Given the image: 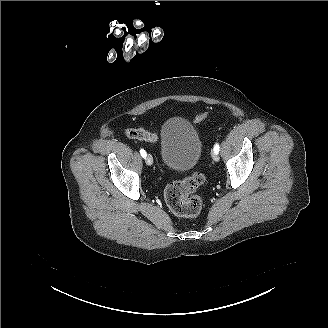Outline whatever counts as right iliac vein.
Returning a JSON list of instances; mask_svg holds the SVG:
<instances>
[{"label":"right iliac vein","mask_w":328,"mask_h":328,"mask_svg":"<svg viewBox=\"0 0 328 328\" xmlns=\"http://www.w3.org/2000/svg\"><path fill=\"white\" fill-rule=\"evenodd\" d=\"M145 162H146L147 165H152L153 164V157L151 156V154L146 155Z\"/></svg>","instance_id":"1"}]
</instances>
